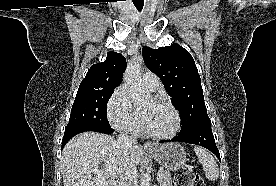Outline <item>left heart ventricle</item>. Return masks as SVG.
<instances>
[{
  "label": "left heart ventricle",
  "mask_w": 276,
  "mask_h": 186,
  "mask_svg": "<svg viewBox=\"0 0 276 186\" xmlns=\"http://www.w3.org/2000/svg\"><path fill=\"white\" fill-rule=\"evenodd\" d=\"M141 114L147 128L154 133H168L175 127L176 118L173 111L153 100L141 108Z\"/></svg>",
  "instance_id": "b2bd125f"
}]
</instances>
